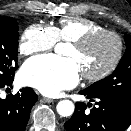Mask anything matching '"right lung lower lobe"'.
<instances>
[{"mask_svg":"<svg viewBox=\"0 0 131 131\" xmlns=\"http://www.w3.org/2000/svg\"><path fill=\"white\" fill-rule=\"evenodd\" d=\"M13 78L0 83V88L10 85ZM38 96L32 88H23L15 95L0 98V131H24L30 111Z\"/></svg>","mask_w":131,"mask_h":131,"instance_id":"98d812e1","label":"right lung lower lobe"}]
</instances>
